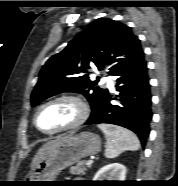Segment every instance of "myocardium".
Here are the masks:
<instances>
[{"mask_svg":"<svg viewBox=\"0 0 178 186\" xmlns=\"http://www.w3.org/2000/svg\"><path fill=\"white\" fill-rule=\"evenodd\" d=\"M59 101L73 102L78 107L77 117L70 124H68V125H66L62 128H59L57 130H54V131H44V130H42L40 128V126L38 125V122H37V117H38V114H39L40 110L47 105H50L52 103L59 102ZM88 117H89V107H88L87 103L80 96L75 95V94H62V95L53 97V98L45 101L41 105H39L37 107L35 113H34L33 122H34L35 127L41 133L46 134V135H55V134L70 131V130H73V129H76V128L80 127L82 124L85 123V121L88 119Z\"/></svg>","mask_w":178,"mask_h":186,"instance_id":"myocardium-1","label":"myocardium"}]
</instances>
